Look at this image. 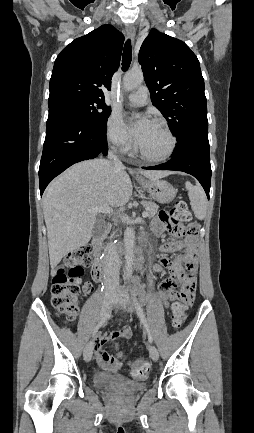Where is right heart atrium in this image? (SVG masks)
Wrapping results in <instances>:
<instances>
[{
	"label": "right heart atrium",
	"instance_id": "d8ad5b80",
	"mask_svg": "<svg viewBox=\"0 0 254 433\" xmlns=\"http://www.w3.org/2000/svg\"><path fill=\"white\" fill-rule=\"evenodd\" d=\"M106 138L115 149L122 153L130 152L133 148L132 139L120 115L116 112H113L107 120Z\"/></svg>",
	"mask_w": 254,
	"mask_h": 433
}]
</instances>
